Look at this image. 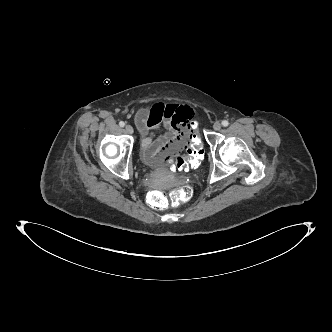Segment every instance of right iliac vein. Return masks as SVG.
<instances>
[{"label": "right iliac vein", "instance_id": "63e3f726", "mask_svg": "<svg viewBox=\"0 0 332 332\" xmlns=\"http://www.w3.org/2000/svg\"><path fill=\"white\" fill-rule=\"evenodd\" d=\"M125 131L128 134H133V132H134L133 127L131 125H129V124L125 126Z\"/></svg>", "mask_w": 332, "mask_h": 332}]
</instances>
